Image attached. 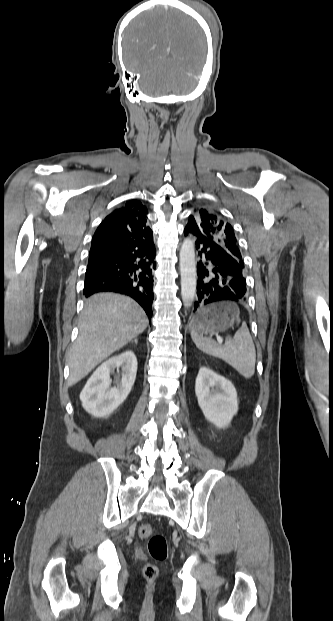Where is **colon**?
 Instances as JSON below:
<instances>
[{
	"instance_id": "5ec220e1",
	"label": "colon",
	"mask_w": 333,
	"mask_h": 621,
	"mask_svg": "<svg viewBox=\"0 0 333 621\" xmlns=\"http://www.w3.org/2000/svg\"><path fill=\"white\" fill-rule=\"evenodd\" d=\"M139 537L148 541V550L151 557L156 561H163L167 557L168 548L165 537L156 534L154 528L150 524H142L138 530ZM143 576L146 580L152 581L158 575V568L154 564H146L142 569Z\"/></svg>"
}]
</instances>
